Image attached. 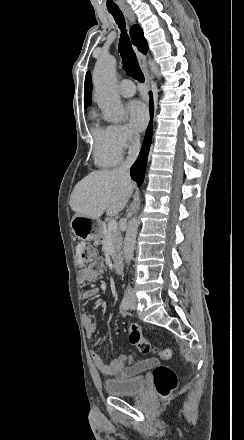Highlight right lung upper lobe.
<instances>
[{
	"label": "right lung upper lobe",
	"instance_id": "cb5924a9",
	"mask_svg": "<svg viewBox=\"0 0 244 440\" xmlns=\"http://www.w3.org/2000/svg\"><path fill=\"white\" fill-rule=\"evenodd\" d=\"M132 43L137 46V48L143 52L147 53L148 44L146 39L144 38L143 31L138 25H134L130 30ZM91 92H92V79L91 73L88 71L85 77V85H84V107L87 108L91 102Z\"/></svg>",
	"mask_w": 244,
	"mask_h": 440
}]
</instances>
